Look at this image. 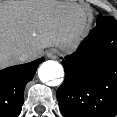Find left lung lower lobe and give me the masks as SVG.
Masks as SVG:
<instances>
[{"mask_svg":"<svg viewBox=\"0 0 117 117\" xmlns=\"http://www.w3.org/2000/svg\"><path fill=\"white\" fill-rule=\"evenodd\" d=\"M65 79L56 96L65 117L117 114V21L98 16L77 51L62 61Z\"/></svg>","mask_w":117,"mask_h":117,"instance_id":"0a47b994","label":"left lung lower lobe"}]
</instances>
